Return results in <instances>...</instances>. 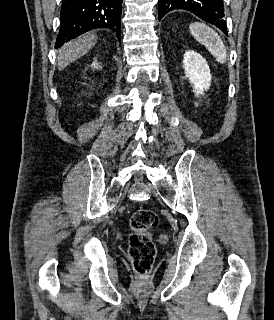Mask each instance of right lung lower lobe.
<instances>
[{"instance_id": "obj_1", "label": "right lung lower lobe", "mask_w": 274, "mask_h": 320, "mask_svg": "<svg viewBox=\"0 0 274 320\" xmlns=\"http://www.w3.org/2000/svg\"><path fill=\"white\" fill-rule=\"evenodd\" d=\"M123 0H63L55 47L95 28H109L120 41Z\"/></svg>"}]
</instances>
